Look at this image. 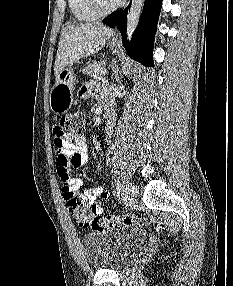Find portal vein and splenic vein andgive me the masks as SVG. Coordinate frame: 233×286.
<instances>
[{"instance_id":"1","label":"portal vein and splenic vein","mask_w":233,"mask_h":286,"mask_svg":"<svg viewBox=\"0 0 233 286\" xmlns=\"http://www.w3.org/2000/svg\"><path fill=\"white\" fill-rule=\"evenodd\" d=\"M101 73H102V74H106V73H107V70H106V69H103V70L101 71Z\"/></svg>"}]
</instances>
